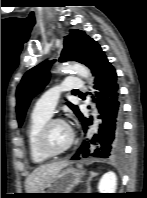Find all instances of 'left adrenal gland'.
<instances>
[{"label": "left adrenal gland", "mask_w": 147, "mask_h": 198, "mask_svg": "<svg viewBox=\"0 0 147 198\" xmlns=\"http://www.w3.org/2000/svg\"><path fill=\"white\" fill-rule=\"evenodd\" d=\"M89 174H90V177H89V179H88V181H87V193H90V191H91L90 182H91L92 178L98 175V174H97L96 172H94V171H90Z\"/></svg>", "instance_id": "obj_1"}]
</instances>
